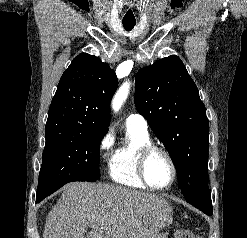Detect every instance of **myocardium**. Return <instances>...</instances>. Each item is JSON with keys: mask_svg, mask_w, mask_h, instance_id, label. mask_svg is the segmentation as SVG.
<instances>
[{"mask_svg": "<svg viewBox=\"0 0 247 238\" xmlns=\"http://www.w3.org/2000/svg\"><path fill=\"white\" fill-rule=\"evenodd\" d=\"M154 152H159V153L163 154L166 157V159L168 160L170 167H171V170H172L171 180L165 186H155V185L151 184L150 181L148 180V177L146 174L147 161H148L149 157L151 156V154ZM137 168H138L139 176H140L141 180L143 181V183L148 188H151L153 190H167L168 188H170L174 184V182L176 181V178H177V166H176L175 160H174L173 156L171 155V153L166 148H164L160 145L153 144V143L147 144L141 149L139 157H138Z\"/></svg>", "mask_w": 247, "mask_h": 238, "instance_id": "f54148a6", "label": "myocardium"}]
</instances>
